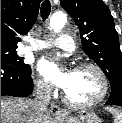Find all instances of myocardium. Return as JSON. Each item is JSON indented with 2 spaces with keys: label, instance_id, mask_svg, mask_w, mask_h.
Returning a JSON list of instances; mask_svg holds the SVG:
<instances>
[{
  "label": "myocardium",
  "instance_id": "1",
  "mask_svg": "<svg viewBox=\"0 0 122 123\" xmlns=\"http://www.w3.org/2000/svg\"><path fill=\"white\" fill-rule=\"evenodd\" d=\"M83 68L93 69L99 75L101 79V83H102V90L97 97H95L92 100L85 101V102L74 101L67 96L65 91H63L62 93L63 101L72 107L86 108V107H92L94 105H97L106 98L109 92V88H110L109 79L101 67H99L97 64L92 63V62H81L77 64L74 69L77 70V69H83Z\"/></svg>",
  "mask_w": 122,
  "mask_h": 123
}]
</instances>
